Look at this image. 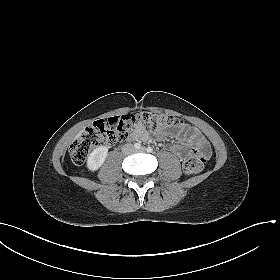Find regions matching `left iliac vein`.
<instances>
[{"mask_svg": "<svg viewBox=\"0 0 280 280\" xmlns=\"http://www.w3.org/2000/svg\"><path fill=\"white\" fill-rule=\"evenodd\" d=\"M139 152H143V151H145V148L144 147H142L141 149H139L138 150Z\"/></svg>", "mask_w": 280, "mask_h": 280, "instance_id": "4c4485c4", "label": "left iliac vein"}]
</instances>
